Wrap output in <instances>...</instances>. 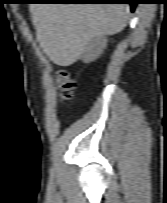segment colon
Instances as JSON below:
<instances>
[{
    "mask_svg": "<svg viewBox=\"0 0 167 203\" xmlns=\"http://www.w3.org/2000/svg\"><path fill=\"white\" fill-rule=\"evenodd\" d=\"M57 80L61 89V95L64 99H70L73 96L76 83L70 78L66 71H59L57 73Z\"/></svg>",
    "mask_w": 167,
    "mask_h": 203,
    "instance_id": "1",
    "label": "colon"
}]
</instances>
